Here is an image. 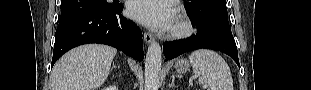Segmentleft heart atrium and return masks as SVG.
Segmentation results:
<instances>
[{"instance_id": "obj_1", "label": "left heart atrium", "mask_w": 311, "mask_h": 90, "mask_svg": "<svg viewBox=\"0 0 311 90\" xmlns=\"http://www.w3.org/2000/svg\"><path fill=\"white\" fill-rule=\"evenodd\" d=\"M128 10L131 18L154 30L170 29L174 21L171 6L163 0H133Z\"/></svg>"}]
</instances>
